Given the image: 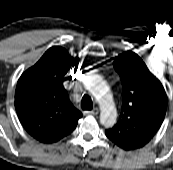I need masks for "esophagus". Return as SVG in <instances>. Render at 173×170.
I'll use <instances>...</instances> for the list:
<instances>
[{
    "label": "esophagus",
    "mask_w": 173,
    "mask_h": 170,
    "mask_svg": "<svg viewBox=\"0 0 173 170\" xmlns=\"http://www.w3.org/2000/svg\"><path fill=\"white\" fill-rule=\"evenodd\" d=\"M86 114L97 115L99 113L98 108H94L93 110L85 111Z\"/></svg>",
    "instance_id": "obj_1"
}]
</instances>
